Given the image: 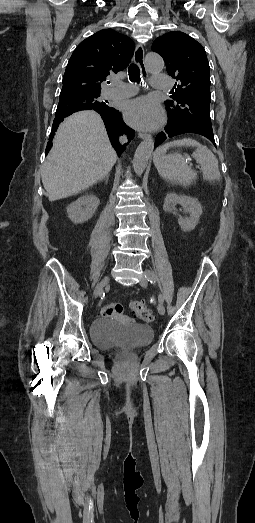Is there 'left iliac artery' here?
Returning a JSON list of instances; mask_svg holds the SVG:
<instances>
[{
  "label": "left iliac artery",
  "mask_w": 255,
  "mask_h": 523,
  "mask_svg": "<svg viewBox=\"0 0 255 523\" xmlns=\"http://www.w3.org/2000/svg\"><path fill=\"white\" fill-rule=\"evenodd\" d=\"M145 277L147 278V281H149L150 283H155L156 282L155 274L153 272L149 271V270L147 271ZM158 301L160 303H163V301H164V298H163V296L161 294H159V296H158Z\"/></svg>",
  "instance_id": "left-iliac-artery-1"
}]
</instances>
